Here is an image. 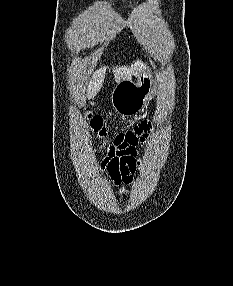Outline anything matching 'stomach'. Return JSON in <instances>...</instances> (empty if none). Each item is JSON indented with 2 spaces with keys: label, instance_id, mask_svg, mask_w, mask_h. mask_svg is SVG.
<instances>
[{
  "label": "stomach",
  "instance_id": "stomach-1",
  "mask_svg": "<svg viewBox=\"0 0 233 286\" xmlns=\"http://www.w3.org/2000/svg\"><path fill=\"white\" fill-rule=\"evenodd\" d=\"M156 89L152 72L143 70L138 75L137 83L131 79H125L117 84L111 96L113 108L123 117H132L145 107Z\"/></svg>",
  "mask_w": 233,
  "mask_h": 286
}]
</instances>
